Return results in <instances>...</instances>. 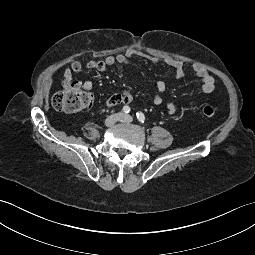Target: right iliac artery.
<instances>
[{
  "label": "right iliac artery",
  "mask_w": 255,
  "mask_h": 255,
  "mask_svg": "<svg viewBox=\"0 0 255 255\" xmlns=\"http://www.w3.org/2000/svg\"><path fill=\"white\" fill-rule=\"evenodd\" d=\"M123 112H124L125 114L129 113V112H130V107H129V106H124V107H123Z\"/></svg>",
  "instance_id": "1"
}]
</instances>
